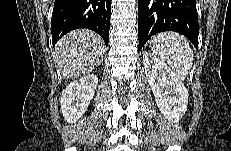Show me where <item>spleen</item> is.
<instances>
[{
    "mask_svg": "<svg viewBox=\"0 0 231 151\" xmlns=\"http://www.w3.org/2000/svg\"><path fill=\"white\" fill-rule=\"evenodd\" d=\"M152 51L166 62L179 80L188 77L193 65V51L188 40L176 32L159 33L152 37Z\"/></svg>",
    "mask_w": 231,
    "mask_h": 151,
    "instance_id": "3e777b00",
    "label": "spleen"
}]
</instances>
